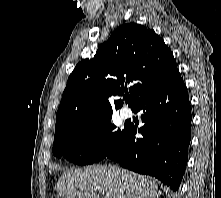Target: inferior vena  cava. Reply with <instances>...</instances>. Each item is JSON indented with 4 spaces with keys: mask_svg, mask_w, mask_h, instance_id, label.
<instances>
[{
    "mask_svg": "<svg viewBox=\"0 0 221 198\" xmlns=\"http://www.w3.org/2000/svg\"><path fill=\"white\" fill-rule=\"evenodd\" d=\"M128 197L130 198V197H131V195H130V194H128Z\"/></svg>",
    "mask_w": 221,
    "mask_h": 198,
    "instance_id": "obj_1",
    "label": "inferior vena cava"
}]
</instances>
